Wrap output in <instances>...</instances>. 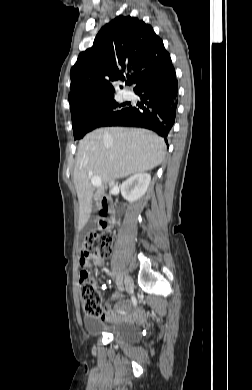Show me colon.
<instances>
[{"label":"colon","instance_id":"5ec220e1","mask_svg":"<svg viewBox=\"0 0 252 390\" xmlns=\"http://www.w3.org/2000/svg\"><path fill=\"white\" fill-rule=\"evenodd\" d=\"M112 236L109 233L91 234L84 240L80 250V261L85 269L80 273V293L84 311L93 317L103 316L101 297L93 280L91 265L96 264L97 258L111 254Z\"/></svg>","mask_w":252,"mask_h":390}]
</instances>
